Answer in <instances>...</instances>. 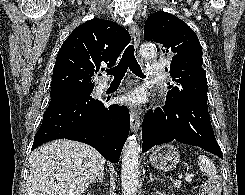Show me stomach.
<instances>
[{
  "label": "stomach",
  "instance_id": "1",
  "mask_svg": "<svg viewBox=\"0 0 245 195\" xmlns=\"http://www.w3.org/2000/svg\"><path fill=\"white\" fill-rule=\"evenodd\" d=\"M180 160L178 150L170 145L164 144L157 147L149 156L151 165L161 171H169L177 166Z\"/></svg>",
  "mask_w": 245,
  "mask_h": 195
}]
</instances>
